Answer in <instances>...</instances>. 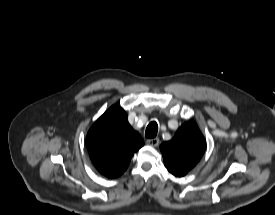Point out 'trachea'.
Wrapping results in <instances>:
<instances>
[{"mask_svg":"<svg viewBox=\"0 0 275 215\" xmlns=\"http://www.w3.org/2000/svg\"><path fill=\"white\" fill-rule=\"evenodd\" d=\"M157 132H158V125L155 121H153L147 126L145 136L147 138H154L156 137Z\"/></svg>","mask_w":275,"mask_h":215,"instance_id":"obj_1","label":"trachea"}]
</instances>
